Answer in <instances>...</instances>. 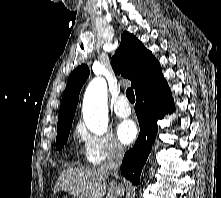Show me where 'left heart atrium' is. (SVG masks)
<instances>
[{
	"label": "left heart atrium",
	"instance_id": "1",
	"mask_svg": "<svg viewBox=\"0 0 221 198\" xmlns=\"http://www.w3.org/2000/svg\"><path fill=\"white\" fill-rule=\"evenodd\" d=\"M138 134L136 124L132 120L122 121L117 127V136L123 144H130Z\"/></svg>",
	"mask_w": 221,
	"mask_h": 198
}]
</instances>
